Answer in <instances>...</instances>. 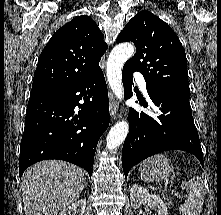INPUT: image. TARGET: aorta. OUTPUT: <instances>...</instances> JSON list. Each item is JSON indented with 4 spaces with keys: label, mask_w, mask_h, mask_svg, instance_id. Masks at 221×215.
<instances>
[{
    "label": "aorta",
    "mask_w": 221,
    "mask_h": 215,
    "mask_svg": "<svg viewBox=\"0 0 221 215\" xmlns=\"http://www.w3.org/2000/svg\"><path fill=\"white\" fill-rule=\"evenodd\" d=\"M135 47L131 43H121L116 45L107 61V81L114 95L119 99H123V84H122V68L125 62L133 56ZM129 132V124L122 120L117 122L109 131L106 139L108 150L112 151L122 144Z\"/></svg>",
    "instance_id": "1"
}]
</instances>
